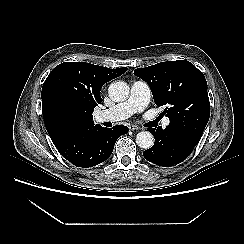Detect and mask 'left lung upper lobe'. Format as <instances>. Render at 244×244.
<instances>
[{"instance_id":"1","label":"left lung upper lobe","mask_w":244,"mask_h":244,"mask_svg":"<svg viewBox=\"0 0 244 244\" xmlns=\"http://www.w3.org/2000/svg\"><path fill=\"white\" fill-rule=\"evenodd\" d=\"M148 83L158 106H167L163 113L169 128L200 139L210 116L207 82L203 73L186 60L168 61L134 70Z\"/></svg>"}]
</instances>
